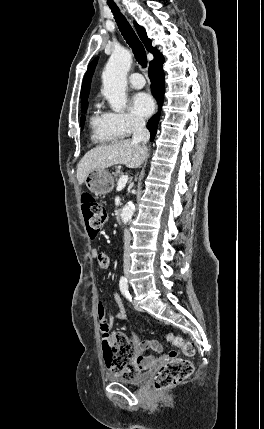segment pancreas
<instances>
[{
  "mask_svg": "<svg viewBox=\"0 0 264 429\" xmlns=\"http://www.w3.org/2000/svg\"><path fill=\"white\" fill-rule=\"evenodd\" d=\"M113 175L117 180L118 178H120L123 175V172L120 170H116L115 172H113Z\"/></svg>",
  "mask_w": 264,
  "mask_h": 429,
  "instance_id": "1",
  "label": "pancreas"
}]
</instances>
